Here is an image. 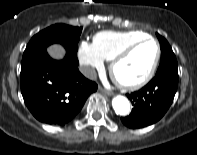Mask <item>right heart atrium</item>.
Segmentation results:
<instances>
[{
    "label": "right heart atrium",
    "instance_id": "right-heart-atrium-1",
    "mask_svg": "<svg viewBox=\"0 0 197 155\" xmlns=\"http://www.w3.org/2000/svg\"><path fill=\"white\" fill-rule=\"evenodd\" d=\"M78 58L87 77H92L95 70H101L104 59L98 53L92 43L82 41L78 48Z\"/></svg>",
    "mask_w": 197,
    "mask_h": 155
}]
</instances>
